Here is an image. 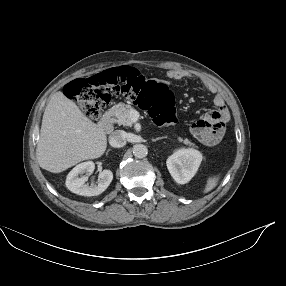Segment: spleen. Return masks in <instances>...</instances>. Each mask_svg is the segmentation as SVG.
<instances>
[{"mask_svg": "<svg viewBox=\"0 0 286 286\" xmlns=\"http://www.w3.org/2000/svg\"><path fill=\"white\" fill-rule=\"evenodd\" d=\"M219 177H209L207 179L205 188L203 190L204 193H207L209 191H211L212 189H214L218 183Z\"/></svg>", "mask_w": 286, "mask_h": 286, "instance_id": "spleen-1", "label": "spleen"}]
</instances>
